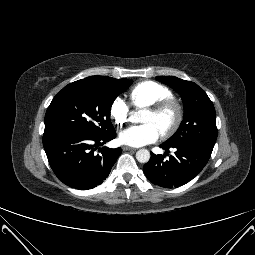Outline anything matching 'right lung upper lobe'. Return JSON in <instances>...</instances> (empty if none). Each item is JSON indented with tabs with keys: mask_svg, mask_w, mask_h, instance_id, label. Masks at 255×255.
I'll list each match as a JSON object with an SVG mask.
<instances>
[{
	"mask_svg": "<svg viewBox=\"0 0 255 255\" xmlns=\"http://www.w3.org/2000/svg\"><path fill=\"white\" fill-rule=\"evenodd\" d=\"M109 77H106V76H90V77H87L85 79H81V80H78V81H102V80H105Z\"/></svg>",
	"mask_w": 255,
	"mask_h": 255,
	"instance_id": "obj_1",
	"label": "right lung upper lobe"
}]
</instances>
